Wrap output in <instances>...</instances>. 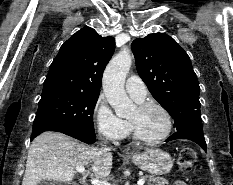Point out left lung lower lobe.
Instances as JSON below:
<instances>
[{"mask_svg":"<svg viewBox=\"0 0 233 185\" xmlns=\"http://www.w3.org/2000/svg\"><path fill=\"white\" fill-rule=\"evenodd\" d=\"M175 139H189L196 142L198 145L203 148L205 152L206 150V142L204 139V134L202 130L201 124L191 125L187 128L177 131L175 134L170 136L167 141L175 140Z\"/></svg>","mask_w":233,"mask_h":185,"instance_id":"left-lung-lower-lobe-1","label":"left lung lower lobe"}]
</instances>
